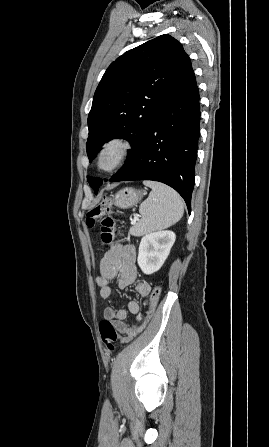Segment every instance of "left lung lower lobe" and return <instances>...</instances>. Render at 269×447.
<instances>
[{"instance_id":"0a47b994","label":"left lung lower lobe","mask_w":269,"mask_h":447,"mask_svg":"<svg viewBox=\"0 0 269 447\" xmlns=\"http://www.w3.org/2000/svg\"><path fill=\"white\" fill-rule=\"evenodd\" d=\"M199 90L187 55L140 152L111 182L154 180L174 188L191 210L199 139Z\"/></svg>"}]
</instances>
